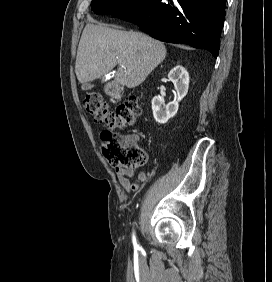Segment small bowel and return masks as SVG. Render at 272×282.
<instances>
[{"label":"small bowel","mask_w":272,"mask_h":282,"mask_svg":"<svg viewBox=\"0 0 272 282\" xmlns=\"http://www.w3.org/2000/svg\"><path fill=\"white\" fill-rule=\"evenodd\" d=\"M134 144H138L140 142L139 135H131L128 137ZM117 177L127 192L130 191H138L141 188L142 184L148 182L149 176L143 171H133L126 169H116ZM130 178H133L134 181L130 182Z\"/></svg>","instance_id":"1"}]
</instances>
